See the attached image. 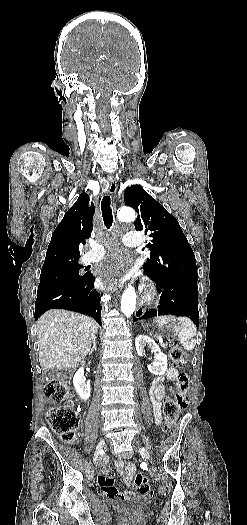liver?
<instances>
[{
    "label": "liver",
    "instance_id": "obj_1",
    "mask_svg": "<svg viewBox=\"0 0 247 525\" xmlns=\"http://www.w3.org/2000/svg\"><path fill=\"white\" fill-rule=\"evenodd\" d=\"M98 327L94 319L80 313L65 309L46 311L37 321L42 371L47 373L53 369L64 371L77 367L87 357Z\"/></svg>",
    "mask_w": 247,
    "mask_h": 525
}]
</instances>
